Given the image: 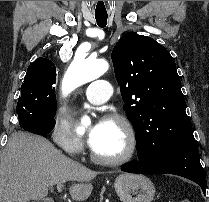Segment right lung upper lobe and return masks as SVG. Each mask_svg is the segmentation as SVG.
Instances as JSON below:
<instances>
[{
	"mask_svg": "<svg viewBox=\"0 0 209 202\" xmlns=\"http://www.w3.org/2000/svg\"><path fill=\"white\" fill-rule=\"evenodd\" d=\"M36 74L56 75V67L51 60L40 57L29 65L26 76L24 78Z\"/></svg>",
	"mask_w": 209,
	"mask_h": 202,
	"instance_id": "right-lung-upper-lobe-1",
	"label": "right lung upper lobe"
}]
</instances>
